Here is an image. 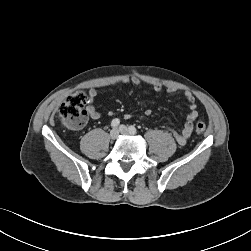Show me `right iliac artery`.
Listing matches in <instances>:
<instances>
[{"instance_id":"82829eb1","label":"right iliac artery","mask_w":251,"mask_h":251,"mask_svg":"<svg viewBox=\"0 0 251 251\" xmlns=\"http://www.w3.org/2000/svg\"><path fill=\"white\" fill-rule=\"evenodd\" d=\"M119 124H120V120L118 118L113 119L111 122V126L114 128L117 127Z\"/></svg>"}]
</instances>
